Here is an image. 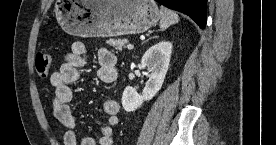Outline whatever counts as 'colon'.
<instances>
[{
  "label": "colon",
  "mask_w": 276,
  "mask_h": 145,
  "mask_svg": "<svg viewBox=\"0 0 276 145\" xmlns=\"http://www.w3.org/2000/svg\"><path fill=\"white\" fill-rule=\"evenodd\" d=\"M37 74L41 78H46L51 70L52 58L46 52L38 53L35 60Z\"/></svg>",
  "instance_id": "obj_1"
}]
</instances>
